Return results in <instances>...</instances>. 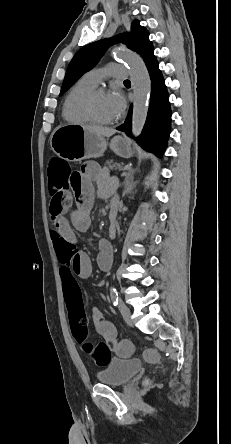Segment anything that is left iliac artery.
Wrapping results in <instances>:
<instances>
[{"mask_svg": "<svg viewBox=\"0 0 231 444\" xmlns=\"http://www.w3.org/2000/svg\"><path fill=\"white\" fill-rule=\"evenodd\" d=\"M111 300L114 306L118 305V292L115 287L110 288Z\"/></svg>", "mask_w": 231, "mask_h": 444, "instance_id": "left-iliac-artery-1", "label": "left iliac artery"}]
</instances>
